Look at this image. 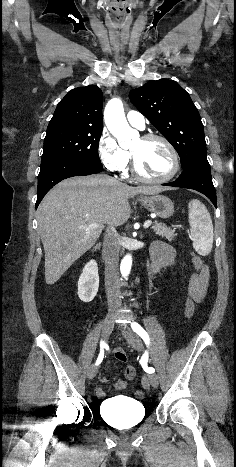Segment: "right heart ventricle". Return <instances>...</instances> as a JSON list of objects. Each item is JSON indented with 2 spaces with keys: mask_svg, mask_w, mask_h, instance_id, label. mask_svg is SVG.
I'll list each match as a JSON object with an SVG mask.
<instances>
[{
  "mask_svg": "<svg viewBox=\"0 0 236 467\" xmlns=\"http://www.w3.org/2000/svg\"><path fill=\"white\" fill-rule=\"evenodd\" d=\"M124 175L127 176V172H126V171H124Z\"/></svg>",
  "mask_w": 236,
  "mask_h": 467,
  "instance_id": "right-heart-ventricle-1",
  "label": "right heart ventricle"
}]
</instances>
